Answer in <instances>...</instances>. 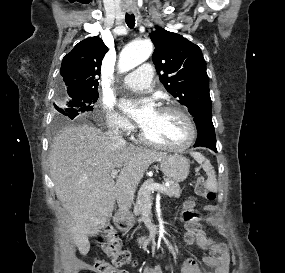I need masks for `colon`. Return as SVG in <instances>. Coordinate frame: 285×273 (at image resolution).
Instances as JSON below:
<instances>
[{
  "mask_svg": "<svg viewBox=\"0 0 285 273\" xmlns=\"http://www.w3.org/2000/svg\"><path fill=\"white\" fill-rule=\"evenodd\" d=\"M196 192L199 196L208 201H214L216 198L214 190L203 178L197 180ZM181 212L184 228H186L184 238L187 243H192L196 239L198 232H204L202 223H196L198 219H200V214H198L195 202L190 199L182 203ZM99 242L105 253L113 258V262L109 263L103 260H97L95 262V270L97 273H118V268L131 263L130 252L123 248L120 239L113 229L109 228L104 234H101L99 236Z\"/></svg>",
  "mask_w": 285,
  "mask_h": 273,
  "instance_id": "1",
  "label": "colon"
}]
</instances>
